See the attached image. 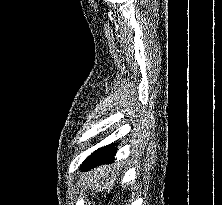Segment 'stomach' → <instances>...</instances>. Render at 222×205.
<instances>
[{
  "label": "stomach",
  "mask_w": 222,
  "mask_h": 205,
  "mask_svg": "<svg viewBox=\"0 0 222 205\" xmlns=\"http://www.w3.org/2000/svg\"><path fill=\"white\" fill-rule=\"evenodd\" d=\"M114 178H115L114 174L111 177H109V174L107 173L103 175V179L99 180L97 184H100V187H102V189L109 188L113 184Z\"/></svg>",
  "instance_id": "obj_1"
}]
</instances>
